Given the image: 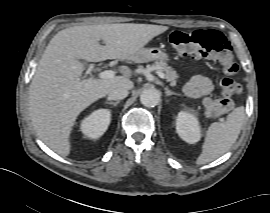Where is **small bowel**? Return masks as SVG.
<instances>
[{
    "label": "small bowel",
    "mask_w": 270,
    "mask_h": 213,
    "mask_svg": "<svg viewBox=\"0 0 270 213\" xmlns=\"http://www.w3.org/2000/svg\"><path fill=\"white\" fill-rule=\"evenodd\" d=\"M212 89V82L208 77L197 75L185 85L184 92L192 98H199L210 93Z\"/></svg>",
    "instance_id": "c3829d8e"
}]
</instances>
